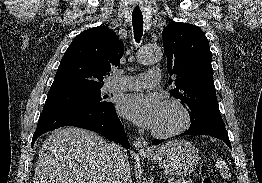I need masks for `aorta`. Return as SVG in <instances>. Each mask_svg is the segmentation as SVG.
Listing matches in <instances>:
<instances>
[{
  "label": "aorta",
  "instance_id": "obj_1",
  "mask_svg": "<svg viewBox=\"0 0 262 183\" xmlns=\"http://www.w3.org/2000/svg\"><path fill=\"white\" fill-rule=\"evenodd\" d=\"M162 51L156 46H145L142 47L138 54L137 60L143 65H151L159 62L162 58Z\"/></svg>",
  "mask_w": 262,
  "mask_h": 183
}]
</instances>
